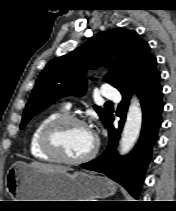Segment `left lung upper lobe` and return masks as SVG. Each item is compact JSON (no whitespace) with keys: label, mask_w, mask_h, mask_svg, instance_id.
Returning a JSON list of instances; mask_svg holds the SVG:
<instances>
[{"label":"left lung upper lobe","mask_w":176,"mask_h":211,"mask_svg":"<svg viewBox=\"0 0 176 211\" xmlns=\"http://www.w3.org/2000/svg\"><path fill=\"white\" fill-rule=\"evenodd\" d=\"M156 63L148 43L134 30L118 28L100 32L73 52L48 62L29 97L20 129L57 99L83 95L87 69L102 64L117 67L105 80L123 94L156 77L159 74ZM127 74H131L133 81ZM94 108L106 125L112 113L98 106Z\"/></svg>","instance_id":"5c2ea615"}]
</instances>
